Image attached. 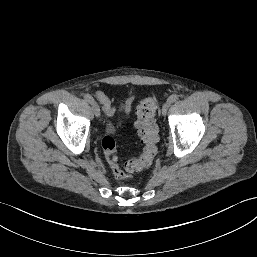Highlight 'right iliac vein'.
Wrapping results in <instances>:
<instances>
[{
  "label": "right iliac vein",
  "instance_id": "1",
  "mask_svg": "<svg viewBox=\"0 0 257 257\" xmlns=\"http://www.w3.org/2000/svg\"><path fill=\"white\" fill-rule=\"evenodd\" d=\"M92 107H93V111H94L95 116L99 117L100 116V107H99V105L95 101H93L92 102Z\"/></svg>",
  "mask_w": 257,
  "mask_h": 257
}]
</instances>
